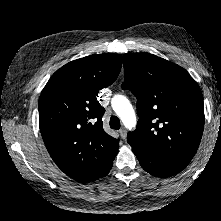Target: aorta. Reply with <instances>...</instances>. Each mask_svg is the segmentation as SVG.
I'll return each instance as SVG.
<instances>
[{"label": "aorta", "mask_w": 221, "mask_h": 221, "mask_svg": "<svg viewBox=\"0 0 221 221\" xmlns=\"http://www.w3.org/2000/svg\"><path fill=\"white\" fill-rule=\"evenodd\" d=\"M111 106L123 124L132 129L136 125V115L130 101L123 95H115L111 100Z\"/></svg>", "instance_id": "obj_1"}]
</instances>
